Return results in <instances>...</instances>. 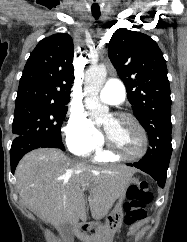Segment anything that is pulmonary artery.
<instances>
[{
  "label": "pulmonary artery",
  "mask_w": 187,
  "mask_h": 242,
  "mask_svg": "<svg viewBox=\"0 0 187 242\" xmlns=\"http://www.w3.org/2000/svg\"><path fill=\"white\" fill-rule=\"evenodd\" d=\"M100 100L109 105H119L125 99V88L118 79H109L102 88Z\"/></svg>",
  "instance_id": "1"
}]
</instances>
